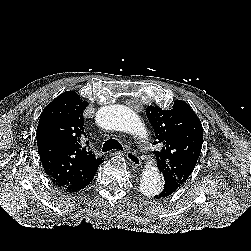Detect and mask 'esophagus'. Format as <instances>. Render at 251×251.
Masks as SVG:
<instances>
[{
  "instance_id": "esophagus-1",
  "label": "esophagus",
  "mask_w": 251,
  "mask_h": 251,
  "mask_svg": "<svg viewBox=\"0 0 251 251\" xmlns=\"http://www.w3.org/2000/svg\"><path fill=\"white\" fill-rule=\"evenodd\" d=\"M126 157L133 168H139L141 166V159L136 153L127 151Z\"/></svg>"
}]
</instances>
